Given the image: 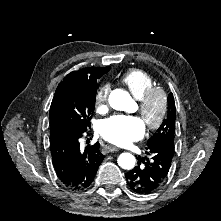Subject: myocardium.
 I'll use <instances>...</instances> for the list:
<instances>
[{
  "instance_id": "myocardium-1",
  "label": "myocardium",
  "mask_w": 221,
  "mask_h": 221,
  "mask_svg": "<svg viewBox=\"0 0 221 221\" xmlns=\"http://www.w3.org/2000/svg\"><path fill=\"white\" fill-rule=\"evenodd\" d=\"M155 103L158 104V113L152 118L150 111ZM138 112L149 131L158 130L163 125L168 113V98L166 92L159 87L151 88L139 100Z\"/></svg>"
}]
</instances>
